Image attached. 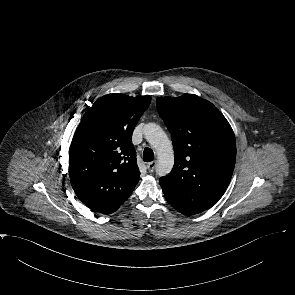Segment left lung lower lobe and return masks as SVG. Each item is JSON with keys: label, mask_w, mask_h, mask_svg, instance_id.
<instances>
[{"label": "left lung lower lobe", "mask_w": 295, "mask_h": 295, "mask_svg": "<svg viewBox=\"0 0 295 295\" xmlns=\"http://www.w3.org/2000/svg\"><path fill=\"white\" fill-rule=\"evenodd\" d=\"M166 198V200L169 202V204L170 205H172L173 207H174V204L167 198V197H165Z\"/></svg>", "instance_id": "0a47b994"}]
</instances>
